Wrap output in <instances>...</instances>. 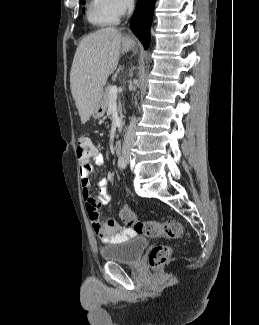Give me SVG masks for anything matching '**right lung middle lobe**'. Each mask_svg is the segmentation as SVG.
Returning <instances> with one entry per match:
<instances>
[{
  "instance_id": "obj_1",
  "label": "right lung middle lobe",
  "mask_w": 259,
  "mask_h": 325,
  "mask_svg": "<svg viewBox=\"0 0 259 325\" xmlns=\"http://www.w3.org/2000/svg\"><path fill=\"white\" fill-rule=\"evenodd\" d=\"M81 2L84 4L85 3V1L84 0H81Z\"/></svg>"
}]
</instances>
